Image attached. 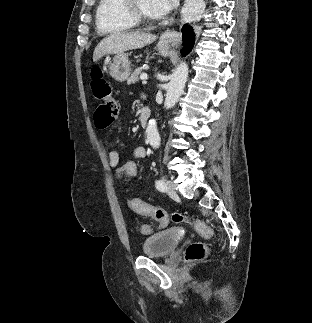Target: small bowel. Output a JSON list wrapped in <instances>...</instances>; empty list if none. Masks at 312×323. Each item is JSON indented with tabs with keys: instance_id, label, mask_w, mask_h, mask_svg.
Returning <instances> with one entry per match:
<instances>
[{
	"instance_id": "obj_1",
	"label": "small bowel",
	"mask_w": 312,
	"mask_h": 323,
	"mask_svg": "<svg viewBox=\"0 0 312 323\" xmlns=\"http://www.w3.org/2000/svg\"><path fill=\"white\" fill-rule=\"evenodd\" d=\"M104 143L106 145H110V140L105 139ZM132 155L135 158L142 159L147 156V150L143 146H138L132 150ZM108 163H109V166L116 171H121L123 166L121 165V156L116 150H110L108 152ZM128 208L132 210L131 206H128ZM144 217H153V216H144Z\"/></svg>"
}]
</instances>
